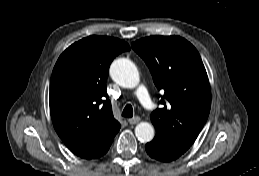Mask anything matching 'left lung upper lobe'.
Here are the masks:
<instances>
[{"label": "left lung upper lobe", "instance_id": "left-lung-upper-lobe-1", "mask_svg": "<svg viewBox=\"0 0 259 176\" xmlns=\"http://www.w3.org/2000/svg\"><path fill=\"white\" fill-rule=\"evenodd\" d=\"M146 62L164 96L151 114L153 143L181 155L196 140L210 111L208 76L196 48L179 36H151L131 44ZM166 100V101H165Z\"/></svg>", "mask_w": 259, "mask_h": 176}]
</instances>
